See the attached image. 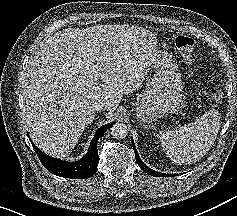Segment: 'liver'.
Wrapping results in <instances>:
<instances>
[{
	"instance_id": "1",
	"label": "liver",
	"mask_w": 237,
	"mask_h": 216,
	"mask_svg": "<svg viewBox=\"0 0 237 216\" xmlns=\"http://www.w3.org/2000/svg\"><path fill=\"white\" fill-rule=\"evenodd\" d=\"M113 26L68 28L41 44L26 71L24 117L32 141L47 153H65L96 117L101 99L119 105L140 87L145 68L120 61ZM113 117V111L105 114Z\"/></svg>"
}]
</instances>
